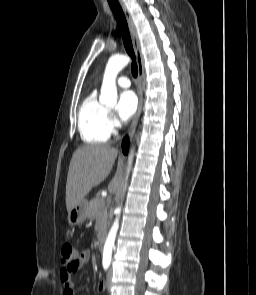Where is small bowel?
I'll return each mask as SVG.
<instances>
[{"mask_svg": "<svg viewBox=\"0 0 256 295\" xmlns=\"http://www.w3.org/2000/svg\"><path fill=\"white\" fill-rule=\"evenodd\" d=\"M91 253L89 250H84L79 255L78 266L74 270L62 269L60 273L61 282L64 288L63 295H74L73 288L74 282L72 279V273L80 268H82L90 259ZM106 290V284L103 281L97 283V291L103 293Z\"/></svg>", "mask_w": 256, "mask_h": 295, "instance_id": "small-bowel-1", "label": "small bowel"}]
</instances>
